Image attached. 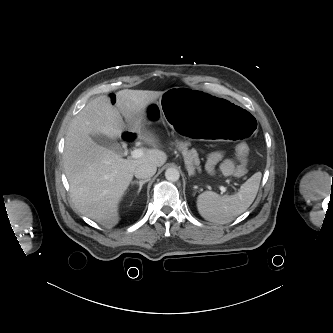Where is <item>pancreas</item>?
<instances>
[{"label":"pancreas","mask_w":333,"mask_h":333,"mask_svg":"<svg viewBox=\"0 0 333 333\" xmlns=\"http://www.w3.org/2000/svg\"><path fill=\"white\" fill-rule=\"evenodd\" d=\"M189 142H178L177 147L182 152L185 160L186 169L189 175L194 174V170L197 166L199 169L200 159L196 150H188Z\"/></svg>","instance_id":"pancreas-1"}]
</instances>
